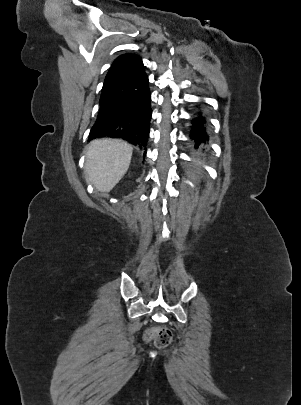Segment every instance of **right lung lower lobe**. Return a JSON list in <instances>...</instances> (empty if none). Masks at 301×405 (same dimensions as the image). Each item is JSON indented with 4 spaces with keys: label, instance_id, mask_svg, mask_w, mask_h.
Here are the masks:
<instances>
[{
    "label": "right lung lower lobe",
    "instance_id": "right-lung-lower-lobe-1",
    "mask_svg": "<svg viewBox=\"0 0 301 405\" xmlns=\"http://www.w3.org/2000/svg\"><path fill=\"white\" fill-rule=\"evenodd\" d=\"M148 84L139 58L116 82L102 90L100 108L89 139L121 138L145 148L152 115Z\"/></svg>",
    "mask_w": 301,
    "mask_h": 405
}]
</instances>
